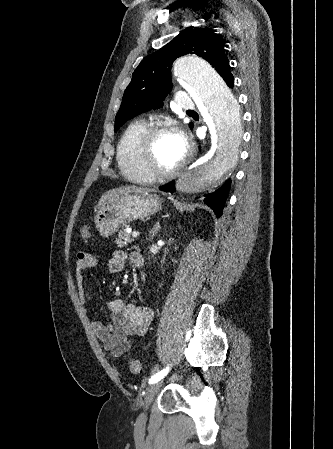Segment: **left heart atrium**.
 Masks as SVG:
<instances>
[{
	"label": "left heart atrium",
	"mask_w": 333,
	"mask_h": 449,
	"mask_svg": "<svg viewBox=\"0 0 333 449\" xmlns=\"http://www.w3.org/2000/svg\"><path fill=\"white\" fill-rule=\"evenodd\" d=\"M176 135H177V138L179 140V143H180V146H181L182 150L186 153V151H187V144H186V141H185V138H184L183 134L176 133Z\"/></svg>",
	"instance_id": "39dd6f15"
}]
</instances>
